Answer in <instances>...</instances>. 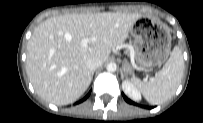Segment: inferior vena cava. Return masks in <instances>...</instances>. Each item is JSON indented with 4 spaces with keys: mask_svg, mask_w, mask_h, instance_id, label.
<instances>
[{
    "mask_svg": "<svg viewBox=\"0 0 203 123\" xmlns=\"http://www.w3.org/2000/svg\"><path fill=\"white\" fill-rule=\"evenodd\" d=\"M86 67L93 72L94 70H96L97 68H99L100 66H102V61L96 58H91V59H87L86 62Z\"/></svg>",
    "mask_w": 203,
    "mask_h": 123,
    "instance_id": "inferior-vena-cava-1",
    "label": "inferior vena cava"
}]
</instances>
